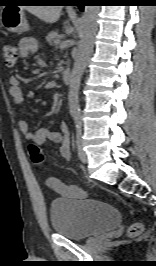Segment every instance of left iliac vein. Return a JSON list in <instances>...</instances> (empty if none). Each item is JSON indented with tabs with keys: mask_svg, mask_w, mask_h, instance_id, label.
Returning a JSON list of instances; mask_svg holds the SVG:
<instances>
[{
	"mask_svg": "<svg viewBox=\"0 0 156 266\" xmlns=\"http://www.w3.org/2000/svg\"><path fill=\"white\" fill-rule=\"evenodd\" d=\"M78 156L79 159L83 162V163H87L88 162V157L86 152L82 149L81 145H78Z\"/></svg>",
	"mask_w": 156,
	"mask_h": 266,
	"instance_id": "obj_1",
	"label": "left iliac vein"
}]
</instances>
